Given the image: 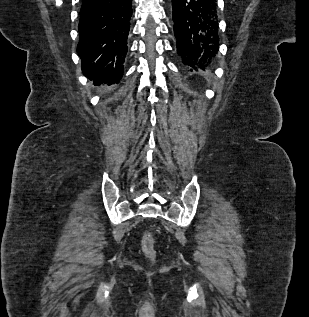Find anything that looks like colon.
<instances>
[{"label":"colon","instance_id":"colon-1","mask_svg":"<svg viewBox=\"0 0 309 317\" xmlns=\"http://www.w3.org/2000/svg\"><path fill=\"white\" fill-rule=\"evenodd\" d=\"M141 248L147 258L151 260L156 258L155 241L150 232H145L141 236Z\"/></svg>","mask_w":309,"mask_h":317}]
</instances>
